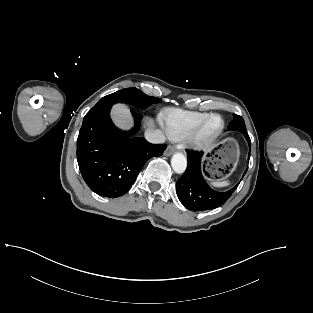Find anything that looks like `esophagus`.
<instances>
[{"label":"esophagus","mask_w":313,"mask_h":313,"mask_svg":"<svg viewBox=\"0 0 313 313\" xmlns=\"http://www.w3.org/2000/svg\"><path fill=\"white\" fill-rule=\"evenodd\" d=\"M176 149H177L176 146L169 145L167 147V149L165 150L164 155L165 156H170V155H172L176 151Z\"/></svg>","instance_id":"obj_1"}]
</instances>
